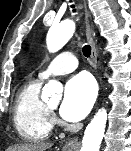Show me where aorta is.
I'll list each match as a JSON object with an SVG mask.
<instances>
[{
    "mask_svg": "<svg viewBox=\"0 0 131 151\" xmlns=\"http://www.w3.org/2000/svg\"><path fill=\"white\" fill-rule=\"evenodd\" d=\"M75 32V23L72 20L62 21L60 24L52 26L47 36V46L50 52L60 50L73 36ZM56 81H50L44 88V92L51 96L57 91ZM107 123V112L104 108L98 110L91 122L87 125L81 151H99L102 139L104 137Z\"/></svg>",
    "mask_w": 131,
    "mask_h": 151,
    "instance_id": "obj_1",
    "label": "aorta"
}]
</instances>
